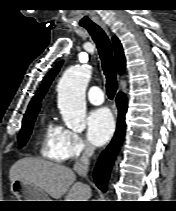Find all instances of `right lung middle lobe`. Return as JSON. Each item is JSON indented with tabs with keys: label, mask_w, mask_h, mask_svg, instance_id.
<instances>
[{
	"label": "right lung middle lobe",
	"mask_w": 176,
	"mask_h": 211,
	"mask_svg": "<svg viewBox=\"0 0 176 211\" xmlns=\"http://www.w3.org/2000/svg\"><path fill=\"white\" fill-rule=\"evenodd\" d=\"M36 115H37V113H33L30 115L24 116V119L22 122V129L17 137L18 141L20 143V146H23L27 142V140L31 134L32 126L34 124Z\"/></svg>",
	"instance_id": "1"
}]
</instances>
